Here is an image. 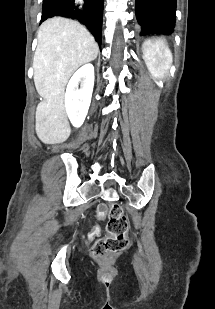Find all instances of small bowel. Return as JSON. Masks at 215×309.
<instances>
[{
	"instance_id": "1",
	"label": "small bowel",
	"mask_w": 215,
	"mask_h": 309,
	"mask_svg": "<svg viewBox=\"0 0 215 309\" xmlns=\"http://www.w3.org/2000/svg\"><path fill=\"white\" fill-rule=\"evenodd\" d=\"M99 217H100V216H99ZM103 217H104V216H103ZM103 217H100V218H103ZM95 230H98V228L96 227Z\"/></svg>"
}]
</instances>
